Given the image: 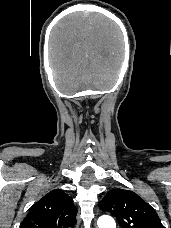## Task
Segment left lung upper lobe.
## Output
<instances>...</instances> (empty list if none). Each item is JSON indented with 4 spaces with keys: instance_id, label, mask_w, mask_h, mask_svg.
<instances>
[{
    "instance_id": "left-lung-upper-lobe-1",
    "label": "left lung upper lobe",
    "mask_w": 171,
    "mask_h": 228,
    "mask_svg": "<svg viewBox=\"0 0 171 228\" xmlns=\"http://www.w3.org/2000/svg\"><path fill=\"white\" fill-rule=\"evenodd\" d=\"M99 207L111 212L122 228H164L154 209L133 191L113 189Z\"/></svg>"
}]
</instances>
